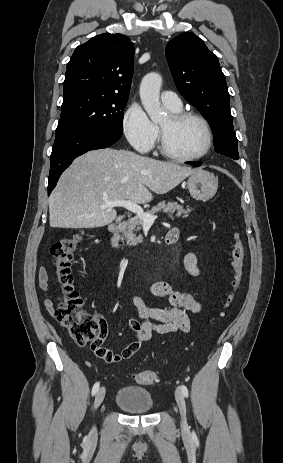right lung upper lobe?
Masks as SVG:
<instances>
[{
  "label": "right lung upper lobe",
  "mask_w": 283,
  "mask_h": 463,
  "mask_svg": "<svg viewBox=\"0 0 283 463\" xmlns=\"http://www.w3.org/2000/svg\"><path fill=\"white\" fill-rule=\"evenodd\" d=\"M133 58V43L122 34H101L78 46L67 64L63 101L82 92L128 97Z\"/></svg>",
  "instance_id": "obj_1"
}]
</instances>
